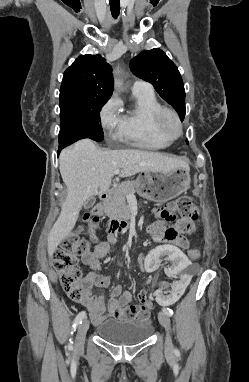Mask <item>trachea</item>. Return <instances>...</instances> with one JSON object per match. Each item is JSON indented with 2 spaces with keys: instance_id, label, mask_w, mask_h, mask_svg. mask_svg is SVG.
Wrapping results in <instances>:
<instances>
[{
  "instance_id": "trachea-1",
  "label": "trachea",
  "mask_w": 249,
  "mask_h": 382,
  "mask_svg": "<svg viewBox=\"0 0 249 382\" xmlns=\"http://www.w3.org/2000/svg\"><path fill=\"white\" fill-rule=\"evenodd\" d=\"M110 10L112 13V16L116 19L119 16L120 13V3L118 2H112L110 1Z\"/></svg>"
}]
</instances>
